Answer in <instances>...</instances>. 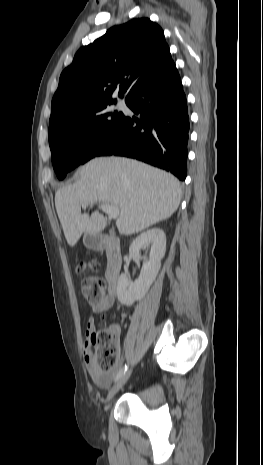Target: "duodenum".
I'll list each match as a JSON object with an SVG mask.
<instances>
[{
	"label": "duodenum",
	"mask_w": 263,
	"mask_h": 465,
	"mask_svg": "<svg viewBox=\"0 0 263 465\" xmlns=\"http://www.w3.org/2000/svg\"><path fill=\"white\" fill-rule=\"evenodd\" d=\"M88 246L94 250H104L107 256L106 280L109 290L116 291L120 270L123 263L119 240L112 235H92L88 239Z\"/></svg>",
	"instance_id": "duodenum-1"
}]
</instances>
